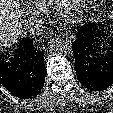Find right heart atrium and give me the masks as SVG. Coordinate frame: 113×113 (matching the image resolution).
Segmentation results:
<instances>
[{"label":"right heart atrium","mask_w":113,"mask_h":113,"mask_svg":"<svg viewBox=\"0 0 113 113\" xmlns=\"http://www.w3.org/2000/svg\"><path fill=\"white\" fill-rule=\"evenodd\" d=\"M37 16H38V13L33 10L28 13L29 19H35V18H37Z\"/></svg>","instance_id":"d8ad5b80"}]
</instances>
